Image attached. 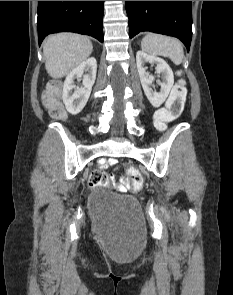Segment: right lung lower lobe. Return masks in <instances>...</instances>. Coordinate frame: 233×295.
Instances as JSON below:
<instances>
[{
    "instance_id": "obj_1",
    "label": "right lung lower lobe",
    "mask_w": 233,
    "mask_h": 295,
    "mask_svg": "<svg viewBox=\"0 0 233 295\" xmlns=\"http://www.w3.org/2000/svg\"><path fill=\"white\" fill-rule=\"evenodd\" d=\"M104 1H38L39 45L50 33L69 31L103 42Z\"/></svg>"
}]
</instances>
